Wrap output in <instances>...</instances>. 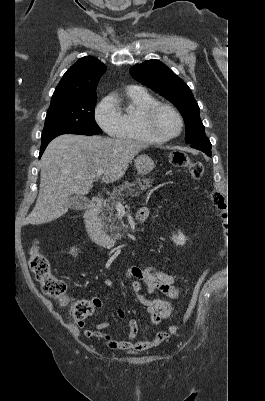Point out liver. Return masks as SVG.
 <instances>
[{
  "mask_svg": "<svg viewBox=\"0 0 265 401\" xmlns=\"http://www.w3.org/2000/svg\"><path fill=\"white\" fill-rule=\"evenodd\" d=\"M148 146L141 140L61 134L48 144L41 158L40 188L36 205L26 225H43L59 219L70 207L71 194H88L103 168L102 182H114L128 164Z\"/></svg>",
  "mask_w": 265,
  "mask_h": 401,
  "instance_id": "6515ba94",
  "label": "liver"
}]
</instances>
